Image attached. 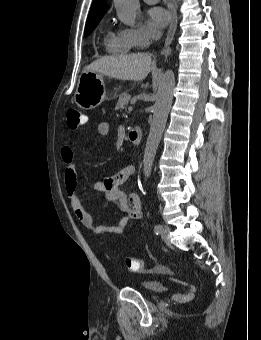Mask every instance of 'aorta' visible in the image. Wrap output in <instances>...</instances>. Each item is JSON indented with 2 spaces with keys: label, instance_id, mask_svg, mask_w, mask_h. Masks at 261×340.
Here are the masks:
<instances>
[{
  "label": "aorta",
  "instance_id": "obj_1",
  "mask_svg": "<svg viewBox=\"0 0 261 340\" xmlns=\"http://www.w3.org/2000/svg\"><path fill=\"white\" fill-rule=\"evenodd\" d=\"M114 3L119 19L127 25H134L139 11V0H114ZM174 86L175 75L172 70H167L158 85L153 106V118L143 157L145 178H148L151 174L156 150L172 105Z\"/></svg>",
  "mask_w": 261,
  "mask_h": 340
}]
</instances>
